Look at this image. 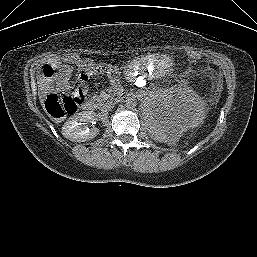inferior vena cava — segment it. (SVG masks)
Here are the masks:
<instances>
[{
    "mask_svg": "<svg viewBox=\"0 0 257 257\" xmlns=\"http://www.w3.org/2000/svg\"><path fill=\"white\" fill-rule=\"evenodd\" d=\"M115 104H116V103L113 102V101H107V102L103 105L102 111H103V112H107V111L112 110V109L114 108Z\"/></svg>",
    "mask_w": 257,
    "mask_h": 257,
    "instance_id": "inferior-vena-cava-1",
    "label": "inferior vena cava"
}]
</instances>
